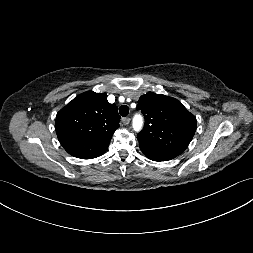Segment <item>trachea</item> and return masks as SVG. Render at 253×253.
Returning a JSON list of instances; mask_svg holds the SVG:
<instances>
[{
  "label": "trachea",
  "mask_w": 253,
  "mask_h": 253,
  "mask_svg": "<svg viewBox=\"0 0 253 253\" xmlns=\"http://www.w3.org/2000/svg\"><path fill=\"white\" fill-rule=\"evenodd\" d=\"M119 112L122 117H126L129 113V107L127 105H121Z\"/></svg>",
  "instance_id": "trachea-1"
}]
</instances>
